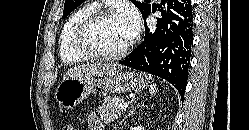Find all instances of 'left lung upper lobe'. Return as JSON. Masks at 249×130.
I'll use <instances>...</instances> for the list:
<instances>
[{"mask_svg":"<svg viewBox=\"0 0 249 130\" xmlns=\"http://www.w3.org/2000/svg\"><path fill=\"white\" fill-rule=\"evenodd\" d=\"M84 0H66L64 4V12L62 18H65L68 14H70L75 8H77L81 3H83ZM138 9L140 10L143 18L146 17V15L151 10V5L147 2H138L136 0H131Z\"/></svg>","mask_w":249,"mask_h":130,"instance_id":"1","label":"left lung upper lobe"}]
</instances>
